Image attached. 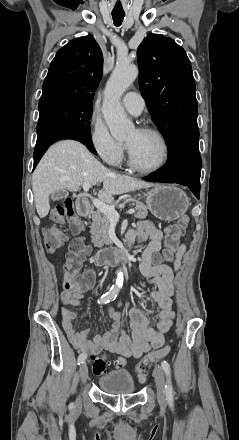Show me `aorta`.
Segmentation results:
<instances>
[{"mask_svg": "<svg viewBox=\"0 0 239 440\" xmlns=\"http://www.w3.org/2000/svg\"><path fill=\"white\" fill-rule=\"evenodd\" d=\"M138 76V68L129 64L127 60H118L105 88L102 114L106 124L115 140H125L128 134L134 132L135 126L128 118L120 98L127 88L133 84ZM123 272H118L116 284H122Z\"/></svg>", "mask_w": 239, "mask_h": 440, "instance_id": "aorta-1", "label": "aorta"}]
</instances>
